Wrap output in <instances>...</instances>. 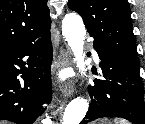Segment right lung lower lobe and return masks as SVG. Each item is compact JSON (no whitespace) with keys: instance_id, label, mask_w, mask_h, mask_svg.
Returning a JSON list of instances; mask_svg holds the SVG:
<instances>
[{"instance_id":"right-lung-lower-lobe-1","label":"right lung lower lobe","mask_w":145,"mask_h":124,"mask_svg":"<svg viewBox=\"0 0 145 124\" xmlns=\"http://www.w3.org/2000/svg\"><path fill=\"white\" fill-rule=\"evenodd\" d=\"M52 56L50 32L33 41L0 47V120L33 124L42 114V105L52 98Z\"/></svg>"}]
</instances>
